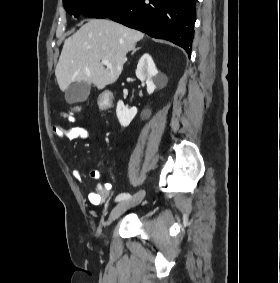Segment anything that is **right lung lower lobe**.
<instances>
[{"label":"right lung lower lobe","instance_id":"right-lung-lower-lobe-1","mask_svg":"<svg viewBox=\"0 0 280 283\" xmlns=\"http://www.w3.org/2000/svg\"><path fill=\"white\" fill-rule=\"evenodd\" d=\"M196 0H131L110 15L113 21L165 39L191 54Z\"/></svg>","mask_w":280,"mask_h":283}]
</instances>
